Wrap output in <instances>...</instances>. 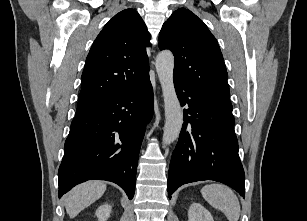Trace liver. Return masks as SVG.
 <instances>
[{"label":"liver","instance_id":"obj_1","mask_svg":"<svg viewBox=\"0 0 307 221\" xmlns=\"http://www.w3.org/2000/svg\"><path fill=\"white\" fill-rule=\"evenodd\" d=\"M102 181H88L74 187L65 197V208L70 218H75L82 210L98 200L105 192Z\"/></svg>","mask_w":307,"mask_h":221}]
</instances>
